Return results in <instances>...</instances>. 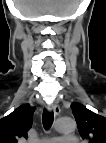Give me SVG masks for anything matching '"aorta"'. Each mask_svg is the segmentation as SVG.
Listing matches in <instances>:
<instances>
[{
  "label": "aorta",
  "mask_w": 106,
  "mask_h": 143,
  "mask_svg": "<svg viewBox=\"0 0 106 143\" xmlns=\"http://www.w3.org/2000/svg\"><path fill=\"white\" fill-rule=\"evenodd\" d=\"M76 127V124L71 118H61L56 123V130L61 133H70Z\"/></svg>",
  "instance_id": "obj_1"
}]
</instances>
